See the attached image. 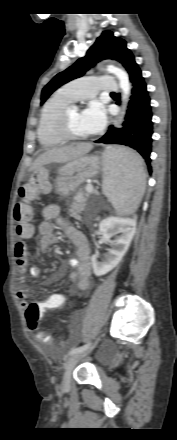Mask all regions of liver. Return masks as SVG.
<instances>
[{
  "instance_id": "6515ba94",
  "label": "liver",
  "mask_w": 177,
  "mask_h": 440,
  "mask_svg": "<svg viewBox=\"0 0 177 440\" xmlns=\"http://www.w3.org/2000/svg\"><path fill=\"white\" fill-rule=\"evenodd\" d=\"M92 148L93 145L91 143H76L50 149L35 160L29 171H33L49 163H66L72 161L90 152Z\"/></svg>"
}]
</instances>
